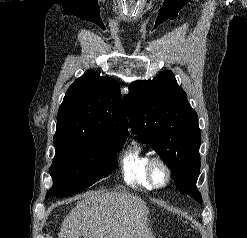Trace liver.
I'll use <instances>...</instances> for the list:
<instances>
[{
	"label": "liver",
	"mask_w": 247,
	"mask_h": 238,
	"mask_svg": "<svg viewBox=\"0 0 247 238\" xmlns=\"http://www.w3.org/2000/svg\"><path fill=\"white\" fill-rule=\"evenodd\" d=\"M146 203L129 193L91 191L62 223L59 238H152Z\"/></svg>",
	"instance_id": "1"
}]
</instances>
